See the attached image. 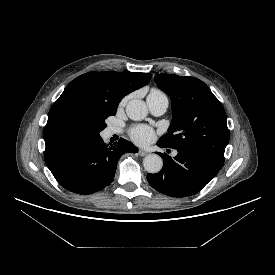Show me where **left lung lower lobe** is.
<instances>
[{"label":"left lung lower lobe","mask_w":275,"mask_h":275,"mask_svg":"<svg viewBox=\"0 0 275 275\" xmlns=\"http://www.w3.org/2000/svg\"><path fill=\"white\" fill-rule=\"evenodd\" d=\"M161 148H169L159 142ZM171 158L158 153L163 159V168L156 174H148L149 184L158 192L171 197H187L199 192L222 168L224 162L201 153L176 149Z\"/></svg>","instance_id":"0a47b994"}]
</instances>
